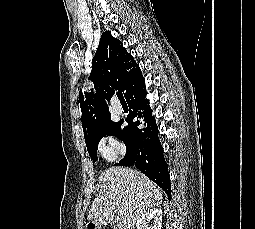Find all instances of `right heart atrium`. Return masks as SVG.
<instances>
[{
  "mask_svg": "<svg viewBox=\"0 0 255 229\" xmlns=\"http://www.w3.org/2000/svg\"><path fill=\"white\" fill-rule=\"evenodd\" d=\"M100 155L108 162L115 161L125 151L124 145L113 136L107 135L98 144Z\"/></svg>",
  "mask_w": 255,
  "mask_h": 229,
  "instance_id": "obj_1",
  "label": "right heart atrium"
}]
</instances>
